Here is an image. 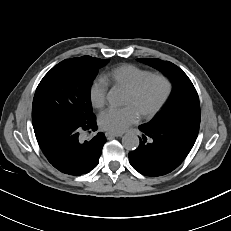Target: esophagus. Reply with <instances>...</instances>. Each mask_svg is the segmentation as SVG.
<instances>
[{"label": "esophagus", "mask_w": 231, "mask_h": 231, "mask_svg": "<svg viewBox=\"0 0 231 231\" xmlns=\"http://www.w3.org/2000/svg\"><path fill=\"white\" fill-rule=\"evenodd\" d=\"M123 135V133H112V132H106L105 136L107 138H110V137H121Z\"/></svg>", "instance_id": "obj_1"}]
</instances>
